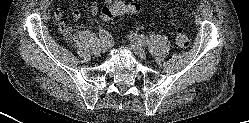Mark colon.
I'll return each instance as SVG.
<instances>
[{"instance_id":"obj_1","label":"colon","mask_w":249,"mask_h":123,"mask_svg":"<svg viewBox=\"0 0 249 123\" xmlns=\"http://www.w3.org/2000/svg\"><path fill=\"white\" fill-rule=\"evenodd\" d=\"M140 7L135 3H112L104 6L100 15L104 20H110L119 14H129L134 15L139 13ZM175 40L178 46L182 48H187L190 45V39L184 32L183 28L178 27L176 29Z\"/></svg>"}]
</instances>
